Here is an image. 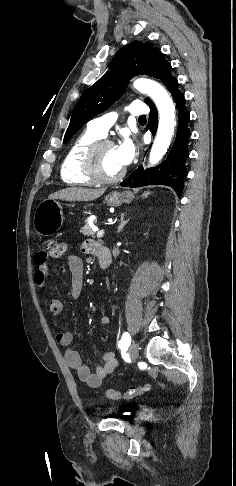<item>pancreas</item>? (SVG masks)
Listing matches in <instances>:
<instances>
[{
  "label": "pancreas",
  "mask_w": 236,
  "mask_h": 486,
  "mask_svg": "<svg viewBox=\"0 0 236 486\" xmlns=\"http://www.w3.org/2000/svg\"><path fill=\"white\" fill-rule=\"evenodd\" d=\"M96 222L97 221L95 220L94 224ZM81 233L85 236H94L95 235V232L93 231L92 227L89 225V219L85 220V225H84V227H82Z\"/></svg>",
  "instance_id": "obj_1"
}]
</instances>
